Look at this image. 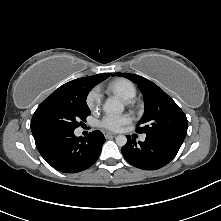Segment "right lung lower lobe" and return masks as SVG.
Segmentation results:
<instances>
[{
	"label": "right lung lower lobe",
	"instance_id": "right-lung-lower-lobe-1",
	"mask_svg": "<svg viewBox=\"0 0 221 221\" xmlns=\"http://www.w3.org/2000/svg\"><path fill=\"white\" fill-rule=\"evenodd\" d=\"M34 139L45 161L63 173H76L92 166L105 142L100 131L76 137L74 130H53L36 135Z\"/></svg>",
	"mask_w": 221,
	"mask_h": 221
}]
</instances>
